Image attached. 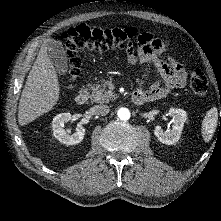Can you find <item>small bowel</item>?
I'll list each match as a JSON object with an SVG mask.
<instances>
[{
	"instance_id": "small-bowel-1",
	"label": "small bowel",
	"mask_w": 221,
	"mask_h": 221,
	"mask_svg": "<svg viewBox=\"0 0 221 221\" xmlns=\"http://www.w3.org/2000/svg\"><path fill=\"white\" fill-rule=\"evenodd\" d=\"M139 48L135 51L127 48V59L132 64H150L158 73L159 79L146 88L136 91L145 95L148 101L166 97L172 89L182 88L186 83L184 68L173 60L169 62L160 58L167 52L168 43L150 33H141L138 37Z\"/></svg>"
}]
</instances>
